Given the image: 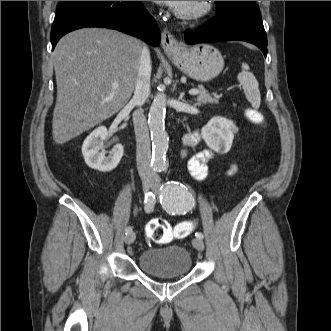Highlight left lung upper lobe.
I'll use <instances>...</instances> for the list:
<instances>
[{
	"label": "left lung upper lobe",
	"instance_id": "obj_1",
	"mask_svg": "<svg viewBox=\"0 0 331 331\" xmlns=\"http://www.w3.org/2000/svg\"><path fill=\"white\" fill-rule=\"evenodd\" d=\"M217 6V13L232 7H246L256 5L255 1H215Z\"/></svg>",
	"mask_w": 331,
	"mask_h": 331
}]
</instances>
